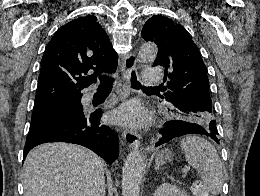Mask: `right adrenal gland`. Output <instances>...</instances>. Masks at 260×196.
<instances>
[{
  "label": "right adrenal gland",
  "mask_w": 260,
  "mask_h": 196,
  "mask_svg": "<svg viewBox=\"0 0 260 196\" xmlns=\"http://www.w3.org/2000/svg\"><path fill=\"white\" fill-rule=\"evenodd\" d=\"M102 196H105V192H103Z\"/></svg>",
  "instance_id": "right-adrenal-gland-1"
}]
</instances>
